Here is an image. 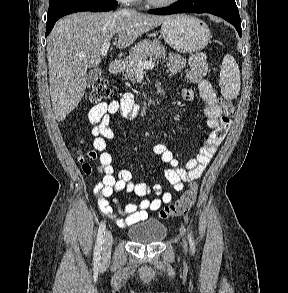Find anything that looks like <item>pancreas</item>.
<instances>
[{
  "mask_svg": "<svg viewBox=\"0 0 288 293\" xmlns=\"http://www.w3.org/2000/svg\"><path fill=\"white\" fill-rule=\"evenodd\" d=\"M165 56L166 50L159 40H142L130 50L129 56L124 61L125 75L130 80H134L140 69L139 61H146L148 58L156 61Z\"/></svg>",
  "mask_w": 288,
  "mask_h": 293,
  "instance_id": "1",
  "label": "pancreas"
}]
</instances>
